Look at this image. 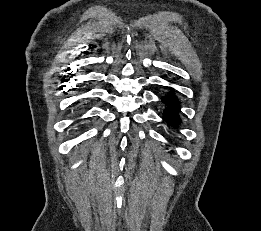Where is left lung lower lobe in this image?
I'll list each match as a JSON object with an SVG mask.
<instances>
[{"mask_svg":"<svg viewBox=\"0 0 261 231\" xmlns=\"http://www.w3.org/2000/svg\"><path fill=\"white\" fill-rule=\"evenodd\" d=\"M161 100L165 106L163 120L167 123V126L170 129L179 128L182 123L180 117V103L175 95L174 89L171 88L166 95L161 97Z\"/></svg>","mask_w":261,"mask_h":231,"instance_id":"obj_1","label":"left lung lower lobe"}]
</instances>
